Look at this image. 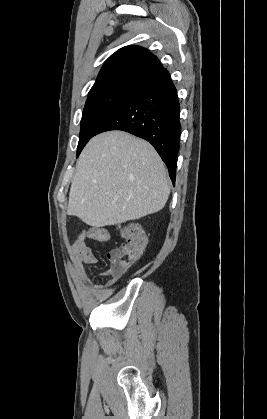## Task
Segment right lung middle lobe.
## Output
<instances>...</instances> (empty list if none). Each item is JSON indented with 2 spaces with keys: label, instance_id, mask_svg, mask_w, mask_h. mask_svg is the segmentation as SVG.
Listing matches in <instances>:
<instances>
[{
  "label": "right lung middle lobe",
  "instance_id": "right-lung-middle-lobe-1",
  "mask_svg": "<svg viewBox=\"0 0 267 419\" xmlns=\"http://www.w3.org/2000/svg\"><path fill=\"white\" fill-rule=\"evenodd\" d=\"M134 90H113L88 96L81 119L80 138L77 157L94 136L100 124L117 108Z\"/></svg>",
  "mask_w": 267,
  "mask_h": 419
}]
</instances>
